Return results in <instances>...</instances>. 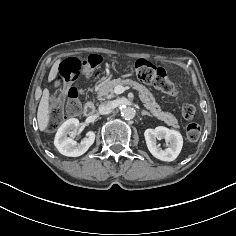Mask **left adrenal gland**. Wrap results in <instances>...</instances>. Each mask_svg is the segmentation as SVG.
I'll list each match as a JSON object with an SVG mask.
<instances>
[{
  "instance_id": "1",
  "label": "left adrenal gland",
  "mask_w": 236,
  "mask_h": 236,
  "mask_svg": "<svg viewBox=\"0 0 236 236\" xmlns=\"http://www.w3.org/2000/svg\"><path fill=\"white\" fill-rule=\"evenodd\" d=\"M140 113H141L142 116L147 115V116L152 117V115L149 112L145 111V110H142Z\"/></svg>"
}]
</instances>
